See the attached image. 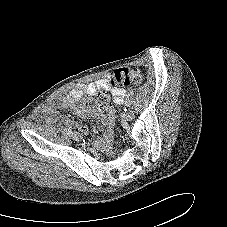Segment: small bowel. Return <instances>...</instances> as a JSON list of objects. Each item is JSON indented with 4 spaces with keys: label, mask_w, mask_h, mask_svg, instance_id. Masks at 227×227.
<instances>
[{
    "label": "small bowel",
    "mask_w": 227,
    "mask_h": 227,
    "mask_svg": "<svg viewBox=\"0 0 227 227\" xmlns=\"http://www.w3.org/2000/svg\"><path fill=\"white\" fill-rule=\"evenodd\" d=\"M100 91L109 92L112 95L115 104L120 105L124 103L125 89H119L112 86L109 75L93 82L79 83L66 95L45 105L42 110L43 120L46 123H54L62 119L66 124L74 126L82 133L87 134L88 129L86 126L73 123L69 119L61 117L60 110H70L73 114L78 116L97 118L107 129H110L115 118V110L112 106L106 113H102L95 106L81 103L84 97H87L86 100H89Z\"/></svg>",
    "instance_id": "small-bowel-1"
}]
</instances>
